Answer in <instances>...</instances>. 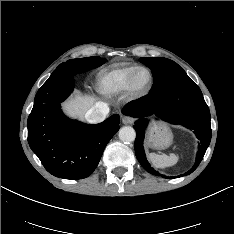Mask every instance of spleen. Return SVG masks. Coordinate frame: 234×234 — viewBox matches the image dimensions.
Listing matches in <instances>:
<instances>
[{
    "instance_id": "1",
    "label": "spleen",
    "mask_w": 234,
    "mask_h": 234,
    "mask_svg": "<svg viewBox=\"0 0 234 234\" xmlns=\"http://www.w3.org/2000/svg\"><path fill=\"white\" fill-rule=\"evenodd\" d=\"M151 163L156 167V168H167L170 166L175 165L178 162V156L175 154H170V155H166V154H156V153H150L148 155Z\"/></svg>"
}]
</instances>
